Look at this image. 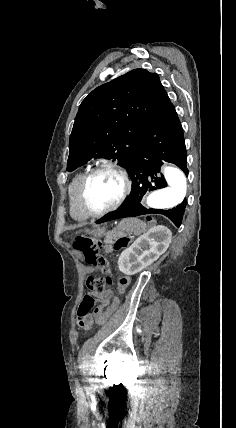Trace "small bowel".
Returning <instances> with one entry per match:
<instances>
[{"instance_id":"obj_1","label":"small bowel","mask_w":236,"mask_h":428,"mask_svg":"<svg viewBox=\"0 0 236 428\" xmlns=\"http://www.w3.org/2000/svg\"><path fill=\"white\" fill-rule=\"evenodd\" d=\"M111 298V293L110 292H105L103 294L99 295V301L101 302L102 306H106ZM91 324V320L87 323V325L89 326Z\"/></svg>"}]
</instances>
